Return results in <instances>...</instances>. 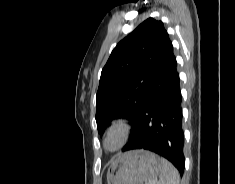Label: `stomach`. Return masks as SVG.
<instances>
[{"label": "stomach", "mask_w": 235, "mask_h": 184, "mask_svg": "<svg viewBox=\"0 0 235 184\" xmlns=\"http://www.w3.org/2000/svg\"><path fill=\"white\" fill-rule=\"evenodd\" d=\"M159 156L147 150H131L112 162L107 184H150L160 174Z\"/></svg>", "instance_id": "obj_1"}]
</instances>
